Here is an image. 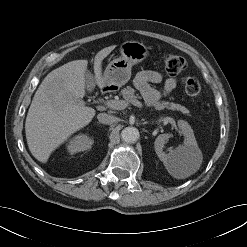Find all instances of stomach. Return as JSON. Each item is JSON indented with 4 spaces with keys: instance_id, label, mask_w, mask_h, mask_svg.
I'll return each mask as SVG.
<instances>
[{
    "instance_id": "0dacf381",
    "label": "stomach",
    "mask_w": 247,
    "mask_h": 247,
    "mask_svg": "<svg viewBox=\"0 0 247 247\" xmlns=\"http://www.w3.org/2000/svg\"><path fill=\"white\" fill-rule=\"evenodd\" d=\"M121 56L113 59L103 73V80L109 88H120L131 77V68L148 55V47L138 41H126L120 45Z\"/></svg>"
}]
</instances>
